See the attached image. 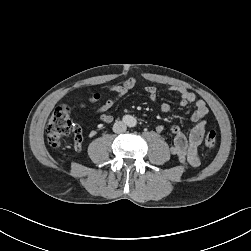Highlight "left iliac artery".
Listing matches in <instances>:
<instances>
[{
	"instance_id": "44dca946",
	"label": "left iliac artery",
	"mask_w": 251,
	"mask_h": 251,
	"mask_svg": "<svg viewBox=\"0 0 251 251\" xmlns=\"http://www.w3.org/2000/svg\"><path fill=\"white\" fill-rule=\"evenodd\" d=\"M130 125H131V126H135V125H136V120H135V119H132Z\"/></svg>"
}]
</instances>
